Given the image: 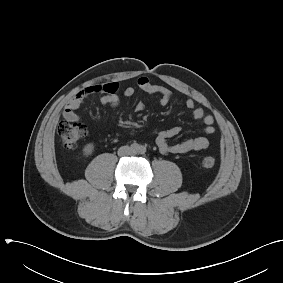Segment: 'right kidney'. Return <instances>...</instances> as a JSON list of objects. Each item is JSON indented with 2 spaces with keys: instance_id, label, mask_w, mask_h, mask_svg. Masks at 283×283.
<instances>
[{
  "instance_id": "obj_1",
  "label": "right kidney",
  "mask_w": 283,
  "mask_h": 283,
  "mask_svg": "<svg viewBox=\"0 0 283 283\" xmlns=\"http://www.w3.org/2000/svg\"><path fill=\"white\" fill-rule=\"evenodd\" d=\"M93 150H94V145L92 143H89L85 145V147L83 148V154L86 156L91 155Z\"/></svg>"
}]
</instances>
